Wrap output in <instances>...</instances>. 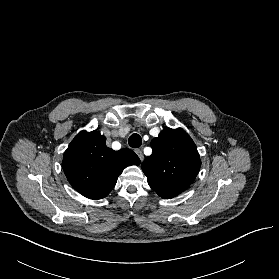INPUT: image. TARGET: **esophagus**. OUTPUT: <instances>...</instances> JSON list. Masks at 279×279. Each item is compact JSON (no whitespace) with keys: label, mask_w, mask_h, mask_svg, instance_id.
Instances as JSON below:
<instances>
[{"label":"esophagus","mask_w":279,"mask_h":279,"mask_svg":"<svg viewBox=\"0 0 279 279\" xmlns=\"http://www.w3.org/2000/svg\"><path fill=\"white\" fill-rule=\"evenodd\" d=\"M136 154L138 155V157L140 158L141 161L144 160V155L141 149H136L135 150Z\"/></svg>","instance_id":"obj_1"}]
</instances>
